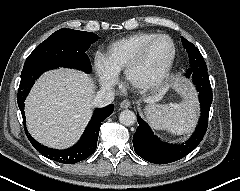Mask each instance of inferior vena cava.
Returning <instances> with one entry per match:
<instances>
[{"mask_svg":"<svg viewBox=\"0 0 240 191\" xmlns=\"http://www.w3.org/2000/svg\"><path fill=\"white\" fill-rule=\"evenodd\" d=\"M114 100V93L108 89H101L97 92L94 100L93 105L95 107H105L112 103Z\"/></svg>","mask_w":240,"mask_h":191,"instance_id":"obj_1","label":"inferior vena cava"}]
</instances>
